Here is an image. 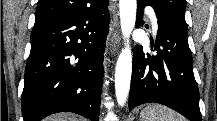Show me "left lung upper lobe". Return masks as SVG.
Returning a JSON list of instances; mask_svg holds the SVG:
<instances>
[{
	"label": "left lung upper lobe",
	"mask_w": 217,
	"mask_h": 121,
	"mask_svg": "<svg viewBox=\"0 0 217 121\" xmlns=\"http://www.w3.org/2000/svg\"><path fill=\"white\" fill-rule=\"evenodd\" d=\"M163 12L168 14L177 24L186 29L187 24L185 21V0H151Z\"/></svg>",
	"instance_id": "left-lung-upper-lobe-1"
}]
</instances>
